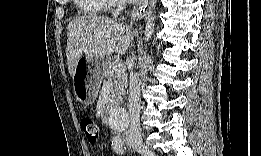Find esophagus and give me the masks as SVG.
<instances>
[{
  "label": "esophagus",
  "instance_id": "1",
  "mask_svg": "<svg viewBox=\"0 0 261 156\" xmlns=\"http://www.w3.org/2000/svg\"><path fill=\"white\" fill-rule=\"evenodd\" d=\"M147 4L139 5L136 9H134L131 13L132 20L141 19L143 18L149 11V8H146ZM152 5H154V2H152Z\"/></svg>",
  "mask_w": 261,
  "mask_h": 156
}]
</instances>
